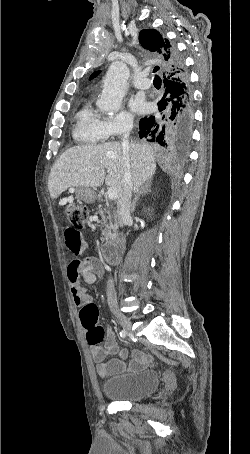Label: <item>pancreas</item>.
<instances>
[{
    "label": "pancreas",
    "instance_id": "pancreas-1",
    "mask_svg": "<svg viewBox=\"0 0 250 454\" xmlns=\"http://www.w3.org/2000/svg\"><path fill=\"white\" fill-rule=\"evenodd\" d=\"M99 213L102 217V225L105 227L102 231L103 239L108 242L115 236V230L117 228L116 216L113 215L108 203H106L104 208L99 207Z\"/></svg>",
    "mask_w": 250,
    "mask_h": 454
}]
</instances>
